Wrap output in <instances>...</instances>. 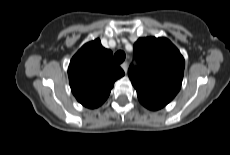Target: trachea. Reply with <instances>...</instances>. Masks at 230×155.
Returning <instances> with one entry per match:
<instances>
[{
  "instance_id": "obj_1",
  "label": "trachea",
  "mask_w": 230,
  "mask_h": 155,
  "mask_svg": "<svg viewBox=\"0 0 230 155\" xmlns=\"http://www.w3.org/2000/svg\"><path fill=\"white\" fill-rule=\"evenodd\" d=\"M125 53L123 51H117L114 55L116 63H122L125 60Z\"/></svg>"
}]
</instances>
